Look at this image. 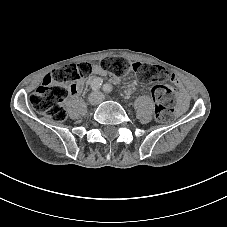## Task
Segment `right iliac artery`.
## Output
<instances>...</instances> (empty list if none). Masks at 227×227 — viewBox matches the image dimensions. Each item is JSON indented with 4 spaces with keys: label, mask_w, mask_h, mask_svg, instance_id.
<instances>
[{
    "label": "right iliac artery",
    "mask_w": 227,
    "mask_h": 227,
    "mask_svg": "<svg viewBox=\"0 0 227 227\" xmlns=\"http://www.w3.org/2000/svg\"><path fill=\"white\" fill-rule=\"evenodd\" d=\"M102 86V80L99 78V79H95L92 83H91V86L90 88L93 90V91H97L101 88Z\"/></svg>",
    "instance_id": "obj_1"
}]
</instances>
